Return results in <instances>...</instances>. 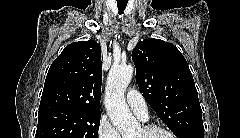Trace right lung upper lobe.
I'll use <instances>...</instances> for the list:
<instances>
[{
    "instance_id": "1",
    "label": "right lung upper lobe",
    "mask_w": 240,
    "mask_h": 138,
    "mask_svg": "<svg viewBox=\"0 0 240 138\" xmlns=\"http://www.w3.org/2000/svg\"><path fill=\"white\" fill-rule=\"evenodd\" d=\"M101 47L94 40L71 43L48 71L38 115L59 111L100 112Z\"/></svg>"
}]
</instances>
